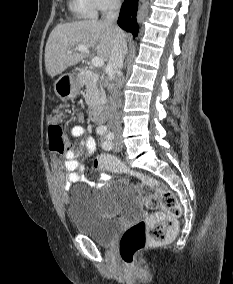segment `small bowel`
Returning <instances> with one entry per match:
<instances>
[{
    "mask_svg": "<svg viewBox=\"0 0 233 284\" xmlns=\"http://www.w3.org/2000/svg\"><path fill=\"white\" fill-rule=\"evenodd\" d=\"M70 132L73 137L80 139L78 151H68L64 153L63 161L53 159L51 163L54 183L61 192H65L71 184L84 179V159L91 156L96 149L94 138L87 135L82 126L74 125ZM107 181L108 177L103 175L97 185L101 186Z\"/></svg>",
    "mask_w": 233,
    "mask_h": 284,
    "instance_id": "1",
    "label": "small bowel"
}]
</instances>
